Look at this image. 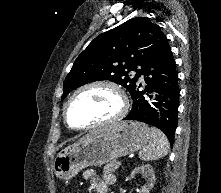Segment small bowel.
I'll return each mask as SVG.
<instances>
[{"instance_id":"obj_1","label":"small bowel","mask_w":221,"mask_h":193,"mask_svg":"<svg viewBox=\"0 0 221 193\" xmlns=\"http://www.w3.org/2000/svg\"><path fill=\"white\" fill-rule=\"evenodd\" d=\"M84 180H92L95 178V173L93 170H85L82 174ZM115 178L111 174H107L104 178L96 183V193H109V186L114 184Z\"/></svg>"}]
</instances>
